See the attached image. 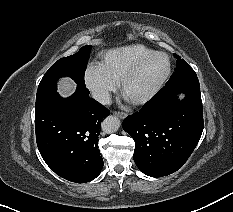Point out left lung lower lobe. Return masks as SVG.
<instances>
[{
    "label": "left lung lower lobe",
    "mask_w": 233,
    "mask_h": 212,
    "mask_svg": "<svg viewBox=\"0 0 233 212\" xmlns=\"http://www.w3.org/2000/svg\"><path fill=\"white\" fill-rule=\"evenodd\" d=\"M185 93L183 100L179 93ZM135 141L134 161L144 174L167 176L189 158L203 131V109L196 75L166 84L143 108L123 121Z\"/></svg>",
    "instance_id": "0a47b994"
}]
</instances>
